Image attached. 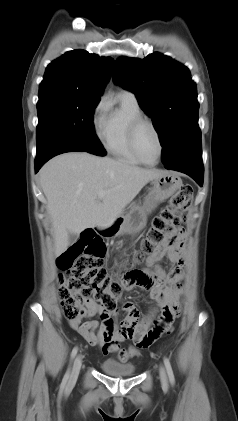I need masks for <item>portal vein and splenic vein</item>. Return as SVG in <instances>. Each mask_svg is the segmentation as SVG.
I'll return each instance as SVG.
<instances>
[{
    "label": "portal vein and splenic vein",
    "instance_id": "obj_1",
    "mask_svg": "<svg viewBox=\"0 0 238 421\" xmlns=\"http://www.w3.org/2000/svg\"><path fill=\"white\" fill-rule=\"evenodd\" d=\"M104 196V191H99L98 192V198L101 199Z\"/></svg>",
    "mask_w": 238,
    "mask_h": 421
}]
</instances>
